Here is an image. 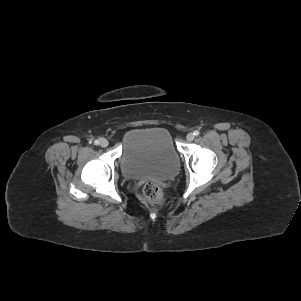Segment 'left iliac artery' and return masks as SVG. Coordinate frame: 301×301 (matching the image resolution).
I'll return each mask as SVG.
<instances>
[{"label": "left iliac artery", "mask_w": 301, "mask_h": 301, "mask_svg": "<svg viewBox=\"0 0 301 301\" xmlns=\"http://www.w3.org/2000/svg\"><path fill=\"white\" fill-rule=\"evenodd\" d=\"M193 134H194L195 136H198V135L200 134V132L197 131V130H195V131L193 132Z\"/></svg>", "instance_id": "left-iliac-artery-1"}]
</instances>
